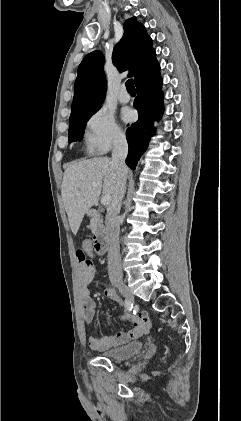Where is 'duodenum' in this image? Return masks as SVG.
<instances>
[{
  "label": "duodenum",
  "mask_w": 241,
  "mask_h": 421,
  "mask_svg": "<svg viewBox=\"0 0 241 421\" xmlns=\"http://www.w3.org/2000/svg\"><path fill=\"white\" fill-rule=\"evenodd\" d=\"M87 215L90 218L96 221H99L100 213L98 211L89 210L87 212ZM108 245H109L108 233L103 226L99 225L93 237V247L96 248L97 254H104L108 249Z\"/></svg>",
  "instance_id": "duodenum-1"
}]
</instances>
